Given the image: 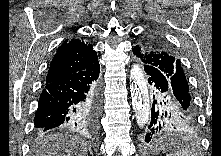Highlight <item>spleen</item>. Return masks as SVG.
Listing matches in <instances>:
<instances>
[{"mask_svg": "<svg viewBox=\"0 0 221 156\" xmlns=\"http://www.w3.org/2000/svg\"><path fill=\"white\" fill-rule=\"evenodd\" d=\"M168 156H196V154L188 149H179L173 153L168 154Z\"/></svg>", "mask_w": 221, "mask_h": 156, "instance_id": "1", "label": "spleen"}]
</instances>
